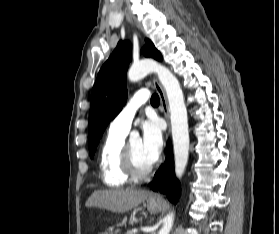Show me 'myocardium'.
Returning <instances> with one entry per match:
<instances>
[{"label": "myocardium", "mask_w": 279, "mask_h": 234, "mask_svg": "<svg viewBox=\"0 0 279 234\" xmlns=\"http://www.w3.org/2000/svg\"><path fill=\"white\" fill-rule=\"evenodd\" d=\"M155 165V161H152L148 166L141 168L137 165L133 151L129 145V142H124L122 146V168L124 173L130 180H140L150 174Z\"/></svg>", "instance_id": "obj_1"}]
</instances>
